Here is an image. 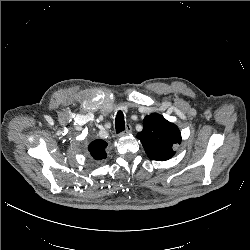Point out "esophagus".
Masks as SVG:
<instances>
[{
    "mask_svg": "<svg viewBox=\"0 0 250 250\" xmlns=\"http://www.w3.org/2000/svg\"><path fill=\"white\" fill-rule=\"evenodd\" d=\"M131 132H132V127H131V125H127L125 131H123V132L120 133V136L130 134Z\"/></svg>",
    "mask_w": 250,
    "mask_h": 250,
    "instance_id": "esophagus-1",
    "label": "esophagus"
}]
</instances>
